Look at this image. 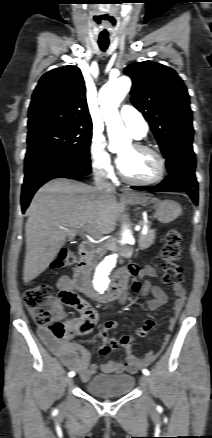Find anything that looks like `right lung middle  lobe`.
I'll return each instance as SVG.
<instances>
[{"mask_svg": "<svg viewBox=\"0 0 212 438\" xmlns=\"http://www.w3.org/2000/svg\"><path fill=\"white\" fill-rule=\"evenodd\" d=\"M91 129L43 126L28 132L26 156L44 155L89 159Z\"/></svg>", "mask_w": 212, "mask_h": 438, "instance_id": "obj_1", "label": "right lung middle lobe"}]
</instances>
